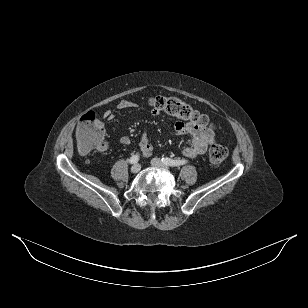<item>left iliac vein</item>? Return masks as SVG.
Wrapping results in <instances>:
<instances>
[{"mask_svg": "<svg viewBox=\"0 0 308 308\" xmlns=\"http://www.w3.org/2000/svg\"><path fill=\"white\" fill-rule=\"evenodd\" d=\"M151 164H152L153 166H155V167L162 168V169H165V170H168V169H169V167H168L166 164H164V163L162 162V160H160L159 158H153V159L151 160Z\"/></svg>", "mask_w": 308, "mask_h": 308, "instance_id": "obj_1", "label": "left iliac vein"}]
</instances>
